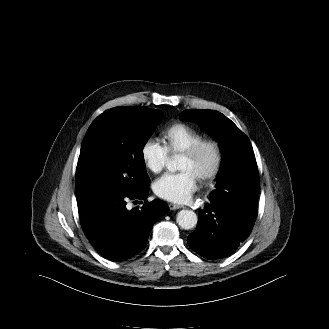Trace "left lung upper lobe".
<instances>
[{
  "label": "left lung upper lobe",
  "mask_w": 329,
  "mask_h": 329,
  "mask_svg": "<svg viewBox=\"0 0 329 329\" xmlns=\"http://www.w3.org/2000/svg\"><path fill=\"white\" fill-rule=\"evenodd\" d=\"M182 121L188 120L201 124L219 141L223 161L219 171L216 189L209 200H222L236 184L257 166L252 146L247 136L222 113L214 110L187 109L180 114Z\"/></svg>",
  "instance_id": "left-lung-upper-lobe-1"
}]
</instances>
